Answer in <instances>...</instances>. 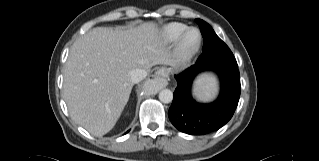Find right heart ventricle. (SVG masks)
Here are the masks:
<instances>
[{"mask_svg": "<svg viewBox=\"0 0 319 161\" xmlns=\"http://www.w3.org/2000/svg\"><path fill=\"white\" fill-rule=\"evenodd\" d=\"M188 28L186 24L171 22L163 25L159 31L161 40L166 44L175 42L179 36Z\"/></svg>", "mask_w": 319, "mask_h": 161, "instance_id": "1", "label": "right heart ventricle"}]
</instances>
